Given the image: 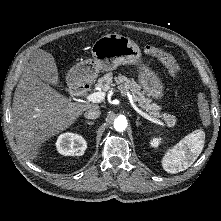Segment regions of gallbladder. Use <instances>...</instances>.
<instances>
[{
	"label": "gallbladder",
	"instance_id": "obj_1",
	"mask_svg": "<svg viewBox=\"0 0 221 221\" xmlns=\"http://www.w3.org/2000/svg\"><path fill=\"white\" fill-rule=\"evenodd\" d=\"M30 60L36 68L35 73L39 80L51 81L52 85L61 87L55 62L51 55L38 50L32 53Z\"/></svg>",
	"mask_w": 221,
	"mask_h": 221
}]
</instances>
